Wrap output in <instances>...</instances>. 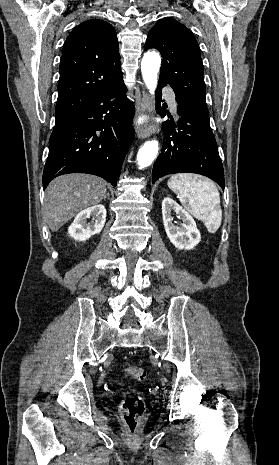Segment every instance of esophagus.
I'll return each mask as SVG.
<instances>
[{
	"label": "esophagus",
	"instance_id": "esophagus-1",
	"mask_svg": "<svg viewBox=\"0 0 279 465\" xmlns=\"http://www.w3.org/2000/svg\"><path fill=\"white\" fill-rule=\"evenodd\" d=\"M139 111L140 113H149V114L152 113L153 111L152 99L149 96V94L146 93L145 91H143L142 93V98H141L140 105H139ZM155 131H156L155 125L150 123V124L139 127L137 130V136L139 138H147L151 134H153Z\"/></svg>",
	"mask_w": 279,
	"mask_h": 465
}]
</instances>
